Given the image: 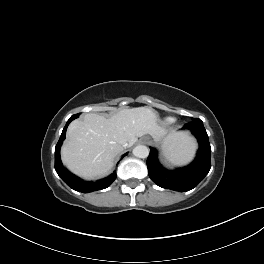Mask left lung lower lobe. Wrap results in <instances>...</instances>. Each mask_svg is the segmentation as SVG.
<instances>
[{
	"label": "left lung lower lobe",
	"instance_id": "left-lung-lower-lobe-1",
	"mask_svg": "<svg viewBox=\"0 0 264 264\" xmlns=\"http://www.w3.org/2000/svg\"><path fill=\"white\" fill-rule=\"evenodd\" d=\"M183 129L191 130L199 142L197 157L190 165L169 171L160 165L157 151L151 147L147 159L151 180L162 188L180 192L196 187L211 168V147L203 122L201 120L192 121L186 124Z\"/></svg>",
	"mask_w": 264,
	"mask_h": 264
}]
</instances>
